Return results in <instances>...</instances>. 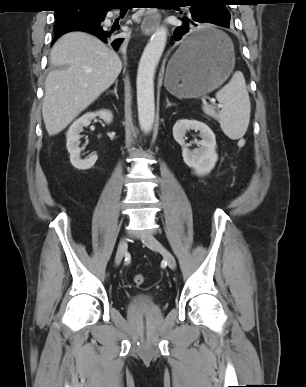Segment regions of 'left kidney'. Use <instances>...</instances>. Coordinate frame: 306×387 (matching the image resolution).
<instances>
[{"mask_svg":"<svg viewBox=\"0 0 306 387\" xmlns=\"http://www.w3.org/2000/svg\"><path fill=\"white\" fill-rule=\"evenodd\" d=\"M190 130L199 131L202 139L195 140L198 148L193 150H190L185 142L186 133ZM173 137L182 146V157L185 164L192 168L196 175L203 176L210 173L218 160V155L215 135L205 123L197 120H178L173 126Z\"/></svg>","mask_w":306,"mask_h":387,"instance_id":"left-kidney-1","label":"left kidney"}]
</instances>
